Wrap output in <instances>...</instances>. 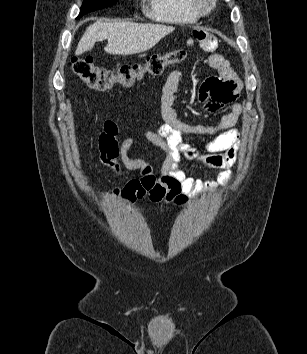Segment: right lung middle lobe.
<instances>
[{"label": "right lung middle lobe", "mask_w": 307, "mask_h": 354, "mask_svg": "<svg viewBox=\"0 0 307 354\" xmlns=\"http://www.w3.org/2000/svg\"><path fill=\"white\" fill-rule=\"evenodd\" d=\"M117 1L118 0H84L82 7L80 9V14L77 18L81 17L82 15L88 12L110 6Z\"/></svg>", "instance_id": "1"}]
</instances>
